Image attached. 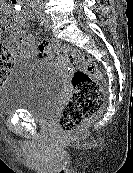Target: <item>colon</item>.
Segmentation results:
<instances>
[{
    "instance_id": "1",
    "label": "colon",
    "mask_w": 133,
    "mask_h": 173,
    "mask_svg": "<svg viewBox=\"0 0 133 173\" xmlns=\"http://www.w3.org/2000/svg\"><path fill=\"white\" fill-rule=\"evenodd\" d=\"M4 23L8 37L16 33L18 27L14 18L7 17ZM55 54L64 56L74 67L71 77L73 93L59 118L61 129L65 133H71L100 109L103 103L102 75L94 61L85 54L51 40H45L39 44L41 58L48 59ZM11 64L10 51L5 45L0 44V82L6 78Z\"/></svg>"
}]
</instances>
